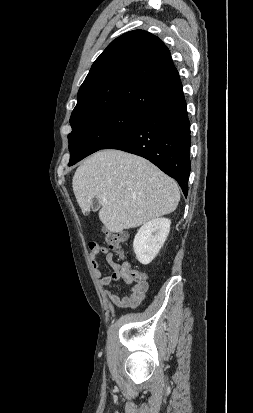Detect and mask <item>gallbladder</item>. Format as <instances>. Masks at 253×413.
<instances>
[{
	"mask_svg": "<svg viewBox=\"0 0 253 413\" xmlns=\"http://www.w3.org/2000/svg\"><path fill=\"white\" fill-rule=\"evenodd\" d=\"M91 208L93 211H97L100 208V203L96 198L93 199Z\"/></svg>",
	"mask_w": 253,
	"mask_h": 413,
	"instance_id": "1",
	"label": "gallbladder"
}]
</instances>
